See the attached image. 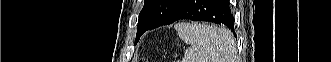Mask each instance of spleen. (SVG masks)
Returning <instances> with one entry per match:
<instances>
[{
    "label": "spleen",
    "instance_id": "obj_1",
    "mask_svg": "<svg viewBox=\"0 0 331 62\" xmlns=\"http://www.w3.org/2000/svg\"><path fill=\"white\" fill-rule=\"evenodd\" d=\"M177 35L190 47L182 62H237L235 40L226 29L205 23L175 25Z\"/></svg>",
    "mask_w": 331,
    "mask_h": 62
}]
</instances>
